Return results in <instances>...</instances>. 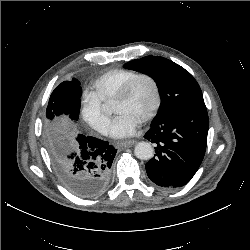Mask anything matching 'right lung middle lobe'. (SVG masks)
Instances as JSON below:
<instances>
[{
    "label": "right lung middle lobe",
    "instance_id": "right-lung-middle-lobe-1",
    "mask_svg": "<svg viewBox=\"0 0 250 250\" xmlns=\"http://www.w3.org/2000/svg\"><path fill=\"white\" fill-rule=\"evenodd\" d=\"M82 88L80 82L73 78L72 81H64L52 92L49 103L46 109V124L47 132L50 130V121L60 114L69 115L72 120H77L80 109V97ZM49 149L58 171V164L64 152L57 147L53 141L49 140Z\"/></svg>",
    "mask_w": 250,
    "mask_h": 250
}]
</instances>
